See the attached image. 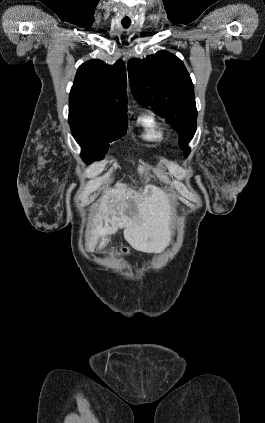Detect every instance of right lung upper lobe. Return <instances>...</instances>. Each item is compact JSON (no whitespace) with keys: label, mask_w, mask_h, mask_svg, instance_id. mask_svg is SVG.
Returning <instances> with one entry per match:
<instances>
[{"label":"right lung upper lobe","mask_w":265,"mask_h":423,"mask_svg":"<svg viewBox=\"0 0 265 423\" xmlns=\"http://www.w3.org/2000/svg\"><path fill=\"white\" fill-rule=\"evenodd\" d=\"M126 106V68L122 60L108 65L93 59L78 68L69 95V109L118 118L126 116Z\"/></svg>","instance_id":"right-lung-upper-lobe-1"}]
</instances>
